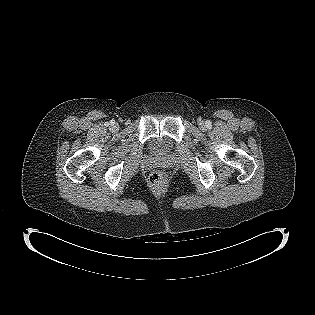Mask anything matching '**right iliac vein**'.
<instances>
[{
    "mask_svg": "<svg viewBox=\"0 0 315 315\" xmlns=\"http://www.w3.org/2000/svg\"><path fill=\"white\" fill-rule=\"evenodd\" d=\"M113 128H114V129H117V128H118V125H117V124L113 125Z\"/></svg>",
    "mask_w": 315,
    "mask_h": 315,
    "instance_id": "63e3f726",
    "label": "right iliac vein"
}]
</instances>
